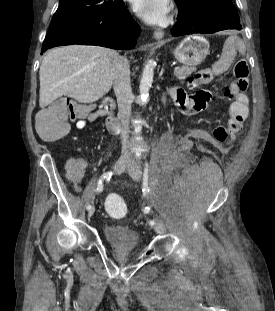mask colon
<instances>
[{
    "label": "colon",
    "instance_id": "1",
    "mask_svg": "<svg viewBox=\"0 0 275 311\" xmlns=\"http://www.w3.org/2000/svg\"><path fill=\"white\" fill-rule=\"evenodd\" d=\"M235 83L239 91H246L248 88V64L244 59H238L233 68ZM225 97H233L232 88L225 91ZM76 114V106L69 100H59L50 106L47 110L37 116V130L40 136L47 140L61 138L67 133V124L69 116ZM214 132V130H213ZM235 134V133H233ZM106 200V209L112 216H120L125 213L126 207L124 201L115 196L114 192Z\"/></svg>",
    "mask_w": 275,
    "mask_h": 311
}]
</instances>
